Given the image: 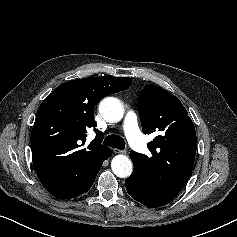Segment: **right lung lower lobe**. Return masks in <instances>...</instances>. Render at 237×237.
I'll return each instance as SVG.
<instances>
[{"instance_id":"right-lung-lower-lobe-1","label":"right lung lower lobe","mask_w":237,"mask_h":237,"mask_svg":"<svg viewBox=\"0 0 237 237\" xmlns=\"http://www.w3.org/2000/svg\"><path fill=\"white\" fill-rule=\"evenodd\" d=\"M111 154H112V152H111ZM111 154H110V156H111ZM103 162H104V160L101 161V162H98L95 166H92V169L89 172L90 173L89 174L90 175V181H89V184L87 185L85 191L83 192V194L86 193L91 188V186L93 185V183L95 181V178L97 176V173L99 172Z\"/></svg>"}]
</instances>
